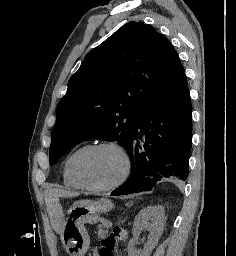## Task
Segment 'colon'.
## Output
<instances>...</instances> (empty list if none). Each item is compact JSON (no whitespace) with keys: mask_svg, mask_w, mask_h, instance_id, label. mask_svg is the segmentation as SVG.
<instances>
[{"mask_svg":"<svg viewBox=\"0 0 236 256\" xmlns=\"http://www.w3.org/2000/svg\"><path fill=\"white\" fill-rule=\"evenodd\" d=\"M119 236V229H112L110 233L103 236L97 256H117Z\"/></svg>","mask_w":236,"mask_h":256,"instance_id":"5ec220e1","label":"colon"}]
</instances>
